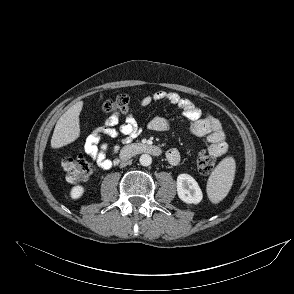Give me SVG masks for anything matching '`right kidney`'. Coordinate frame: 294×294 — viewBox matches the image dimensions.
<instances>
[{
  "label": "right kidney",
  "instance_id": "right-kidney-1",
  "mask_svg": "<svg viewBox=\"0 0 294 294\" xmlns=\"http://www.w3.org/2000/svg\"><path fill=\"white\" fill-rule=\"evenodd\" d=\"M84 190L85 189L83 186H80V185L74 186L70 191V197L73 200L79 199L83 195Z\"/></svg>",
  "mask_w": 294,
  "mask_h": 294
}]
</instances>
